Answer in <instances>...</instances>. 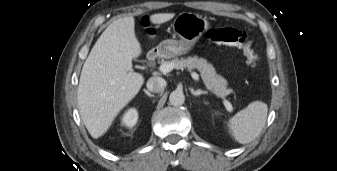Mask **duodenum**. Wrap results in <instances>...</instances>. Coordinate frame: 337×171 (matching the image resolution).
<instances>
[{
	"instance_id": "410a0bca",
	"label": "duodenum",
	"mask_w": 337,
	"mask_h": 171,
	"mask_svg": "<svg viewBox=\"0 0 337 171\" xmlns=\"http://www.w3.org/2000/svg\"><path fill=\"white\" fill-rule=\"evenodd\" d=\"M161 55H162L161 49L153 48L149 51V53L147 55V60L151 65H153Z\"/></svg>"
}]
</instances>
